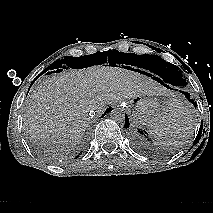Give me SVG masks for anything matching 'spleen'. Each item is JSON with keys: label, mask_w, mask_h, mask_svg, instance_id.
I'll return each mask as SVG.
<instances>
[{"label": "spleen", "mask_w": 213, "mask_h": 213, "mask_svg": "<svg viewBox=\"0 0 213 213\" xmlns=\"http://www.w3.org/2000/svg\"><path fill=\"white\" fill-rule=\"evenodd\" d=\"M192 110L188 104L174 101L156 117L149 128L155 144L169 148L181 143L191 127Z\"/></svg>", "instance_id": "3e777b00"}]
</instances>
